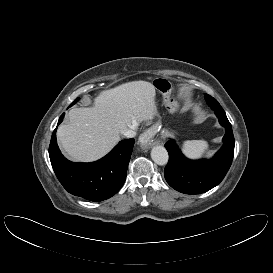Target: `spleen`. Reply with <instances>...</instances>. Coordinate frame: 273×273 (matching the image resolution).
I'll list each match as a JSON object with an SVG mask.
<instances>
[{
    "instance_id": "1",
    "label": "spleen",
    "mask_w": 273,
    "mask_h": 273,
    "mask_svg": "<svg viewBox=\"0 0 273 273\" xmlns=\"http://www.w3.org/2000/svg\"><path fill=\"white\" fill-rule=\"evenodd\" d=\"M208 143L204 140H187L183 143L182 151L190 159H199L207 151Z\"/></svg>"
}]
</instances>
